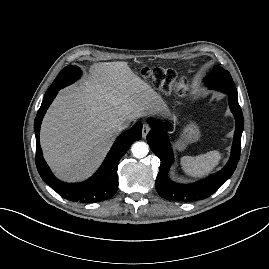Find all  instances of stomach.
<instances>
[{
  "mask_svg": "<svg viewBox=\"0 0 269 269\" xmlns=\"http://www.w3.org/2000/svg\"><path fill=\"white\" fill-rule=\"evenodd\" d=\"M199 137V128L191 123L184 128L180 139L176 142L175 146L179 151H183L189 143L197 141Z\"/></svg>",
  "mask_w": 269,
  "mask_h": 269,
  "instance_id": "obj_1",
  "label": "stomach"
}]
</instances>
